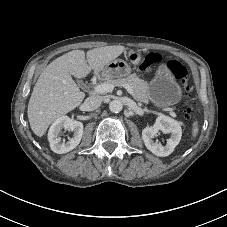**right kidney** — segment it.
<instances>
[{
  "label": "right kidney",
  "mask_w": 227,
  "mask_h": 227,
  "mask_svg": "<svg viewBox=\"0 0 227 227\" xmlns=\"http://www.w3.org/2000/svg\"><path fill=\"white\" fill-rule=\"evenodd\" d=\"M62 129L74 131L73 137L67 142H62L59 136ZM82 135L83 124L81 122L70 119L68 116H61L53 122L48 131L51 150L57 154L67 153L80 143Z\"/></svg>",
  "instance_id": "1"
}]
</instances>
